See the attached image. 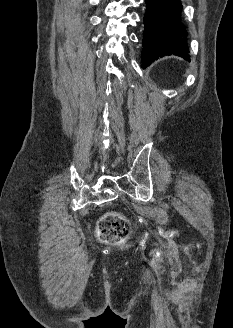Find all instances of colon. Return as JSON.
<instances>
[{"label": "colon", "mask_w": 233, "mask_h": 328, "mask_svg": "<svg viewBox=\"0 0 233 328\" xmlns=\"http://www.w3.org/2000/svg\"><path fill=\"white\" fill-rule=\"evenodd\" d=\"M128 235V221L117 212L105 214L98 222L97 236L103 243H118L126 239Z\"/></svg>", "instance_id": "1"}]
</instances>
